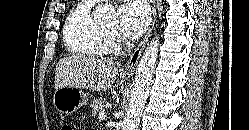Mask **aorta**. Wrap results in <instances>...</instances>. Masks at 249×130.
Masks as SVG:
<instances>
[{
  "label": "aorta",
  "instance_id": "obj_1",
  "mask_svg": "<svg viewBox=\"0 0 249 130\" xmlns=\"http://www.w3.org/2000/svg\"><path fill=\"white\" fill-rule=\"evenodd\" d=\"M95 18L103 22L116 20L115 8L109 3L99 4ZM159 37L156 36L145 49L136 70L127 114L122 123V130H137L149 94L150 83L158 56Z\"/></svg>",
  "mask_w": 249,
  "mask_h": 130
}]
</instances>
